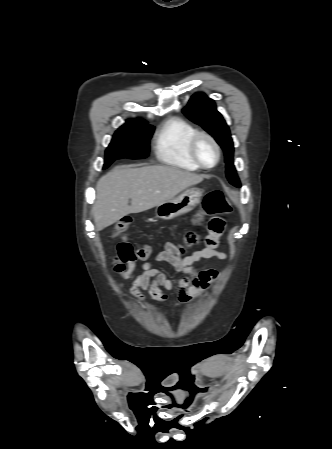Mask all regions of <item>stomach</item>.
<instances>
[{
	"mask_svg": "<svg viewBox=\"0 0 332 449\" xmlns=\"http://www.w3.org/2000/svg\"><path fill=\"white\" fill-rule=\"evenodd\" d=\"M203 191L189 188L176 198L166 201L156 207V216L170 220L193 210L201 201Z\"/></svg>",
	"mask_w": 332,
	"mask_h": 449,
	"instance_id": "obj_1",
	"label": "stomach"
}]
</instances>
